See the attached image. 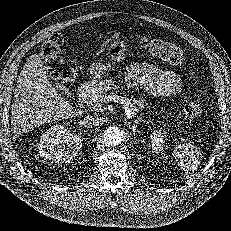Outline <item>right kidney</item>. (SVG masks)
I'll list each match as a JSON object with an SVG mask.
<instances>
[{"instance_id": "obj_1", "label": "right kidney", "mask_w": 231, "mask_h": 231, "mask_svg": "<svg viewBox=\"0 0 231 231\" xmlns=\"http://www.w3.org/2000/svg\"><path fill=\"white\" fill-rule=\"evenodd\" d=\"M82 141L63 125H53L41 136L38 149L41 156L53 163H70L81 149Z\"/></svg>"}]
</instances>
